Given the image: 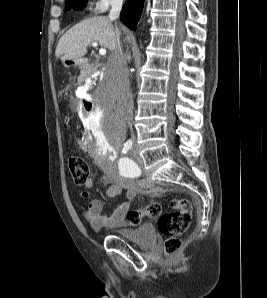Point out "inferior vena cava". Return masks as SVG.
<instances>
[{
  "label": "inferior vena cava",
  "mask_w": 267,
  "mask_h": 298,
  "mask_svg": "<svg viewBox=\"0 0 267 298\" xmlns=\"http://www.w3.org/2000/svg\"><path fill=\"white\" fill-rule=\"evenodd\" d=\"M122 5L123 0H111V10L109 13V19L111 21H115L119 17ZM128 58L129 56L123 53L118 38L109 59L108 68L114 73L117 80L116 97L118 112L131 126L133 117V102L128 78Z\"/></svg>",
  "instance_id": "inferior-vena-cava-1"
}]
</instances>
